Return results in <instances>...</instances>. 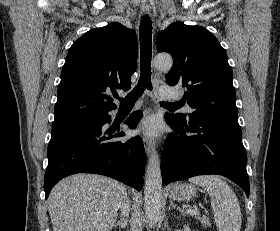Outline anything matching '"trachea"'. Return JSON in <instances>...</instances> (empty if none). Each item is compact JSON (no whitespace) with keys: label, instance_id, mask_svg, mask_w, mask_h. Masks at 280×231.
<instances>
[{"label":"trachea","instance_id":"1","mask_svg":"<svg viewBox=\"0 0 280 231\" xmlns=\"http://www.w3.org/2000/svg\"><path fill=\"white\" fill-rule=\"evenodd\" d=\"M140 64H141V76L138 81V84L135 88L128 93L125 98H119L118 95H114L115 98L120 100V104L122 105H133L140 96L144 93L146 89L152 90L151 83V58H152V22L148 15L143 16L141 18L140 30ZM162 106L167 109H179L181 108V104L175 103H164L162 102Z\"/></svg>","mask_w":280,"mask_h":231}]
</instances>
